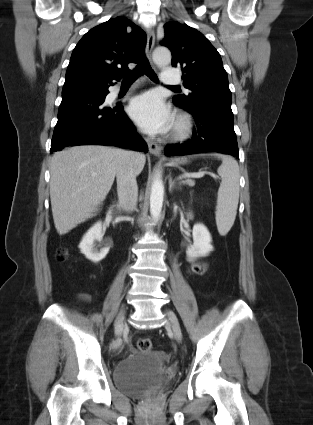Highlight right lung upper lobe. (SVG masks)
I'll return each instance as SVG.
<instances>
[{"label":"right lung upper lobe","instance_id":"right-lung-upper-lobe-1","mask_svg":"<svg viewBox=\"0 0 313 425\" xmlns=\"http://www.w3.org/2000/svg\"><path fill=\"white\" fill-rule=\"evenodd\" d=\"M145 45V32L125 17L92 28L72 52L63 88L109 86L140 60Z\"/></svg>","mask_w":313,"mask_h":425}]
</instances>
